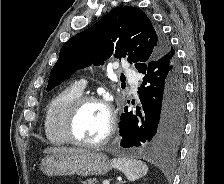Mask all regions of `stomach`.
<instances>
[{
  "instance_id": "stomach-1",
  "label": "stomach",
  "mask_w": 224,
  "mask_h": 184,
  "mask_svg": "<svg viewBox=\"0 0 224 184\" xmlns=\"http://www.w3.org/2000/svg\"><path fill=\"white\" fill-rule=\"evenodd\" d=\"M40 169L47 176L79 175L86 177L105 175L112 169V165L103 153L79 151L49 156L42 160Z\"/></svg>"
}]
</instances>
